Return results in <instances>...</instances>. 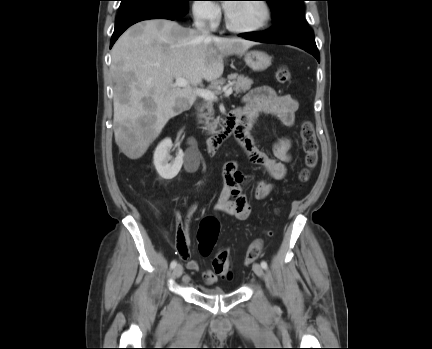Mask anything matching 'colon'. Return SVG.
Listing matches in <instances>:
<instances>
[{"label":"colon","mask_w":432,"mask_h":349,"mask_svg":"<svg viewBox=\"0 0 432 349\" xmlns=\"http://www.w3.org/2000/svg\"><path fill=\"white\" fill-rule=\"evenodd\" d=\"M276 80L280 84H290L292 82V74L286 66H281L276 71ZM300 138L302 150L304 152V167L300 172L299 179L302 182L308 180L311 171L316 167L318 162V142L313 124L310 121H304L300 129ZM219 225L216 219L206 218L201 223L198 232L199 251L203 256H208L218 237ZM182 243V241H179ZM262 241H254L247 249L244 264L249 265L256 261L262 252ZM214 272L225 278L231 276V256L228 250L219 251L212 260Z\"/></svg>","instance_id":"1"}]
</instances>
